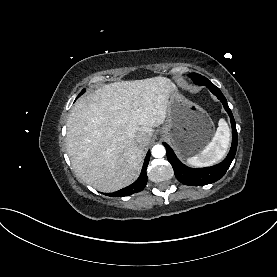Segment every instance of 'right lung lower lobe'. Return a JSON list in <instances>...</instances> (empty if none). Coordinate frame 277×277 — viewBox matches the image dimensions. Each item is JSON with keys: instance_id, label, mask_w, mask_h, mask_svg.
Listing matches in <instances>:
<instances>
[{"instance_id": "98d812e1", "label": "right lung lower lobe", "mask_w": 277, "mask_h": 277, "mask_svg": "<svg viewBox=\"0 0 277 277\" xmlns=\"http://www.w3.org/2000/svg\"><path fill=\"white\" fill-rule=\"evenodd\" d=\"M149 159H150V153L148 152L147 155H146V158L144 160V164H143V167H142L141 174H140L139 178L133 184H131V185L119 190V191H116V192H113V193H106L105 195L114 196V197H124V196L132 195L136 192L142 191L145 188L146 184H147L146 169H147V166H148V163H149Z\"/></svg>"}]
</instances>
